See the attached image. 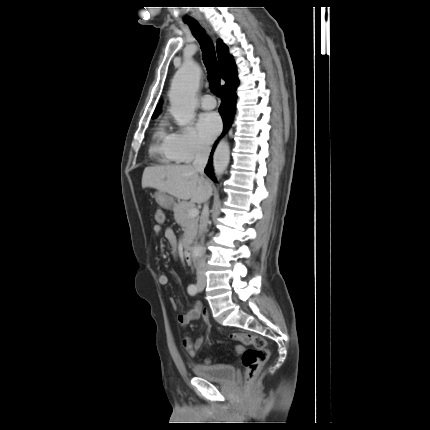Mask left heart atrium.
Returning <instances> with one entry per match:
<instances>
[{"instance_id":"39dd6f15","label":"left heart atrium","mask_w":430,"mask_h":430,"mask_svg":"<svg viewBox=\"0 0 430 430\" xmlns=\"http://www.w3.org/2000/svg\"><path fill=\"white\" fill-rule=\"evenodd\" d=\"M197 128L201 139L210 143L221 130L220 117L214 112L204 113L198 119Z\"/></svg>"}]
</instances>
